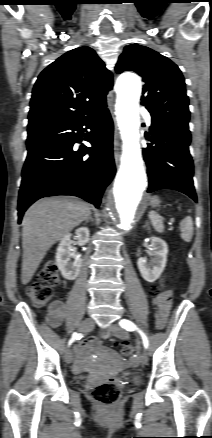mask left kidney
<instances>
[{"mask_svg":"<svg viewBox=\"0 0 212 438\" xmlns=\"http://www.w3.org/2000/svg\"><path fill=\"white\" fill-rule=\"evenodd\" d=\"M151 246L153 256L151 263L147 264L145 258H139L137 266L143 279L152 283L160 277L166 266L168 246L164 240L158 237H151Z\"/></svg>","mask_w":212,"mask_h":438,"instance_id":"left-kidney-1","label":"left kidney"}]
</instances>
